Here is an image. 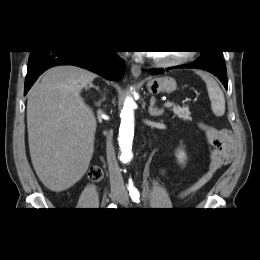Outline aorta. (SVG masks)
I'll use <instances>...</instances> for the list:
<instances>
[{
    "label": "aorta",
    "mask_w": 260,
    "mask_h": 260,
    "mask_svg": "<svg viewBox=\"0 0 260 260\" xmlns=\"http://www.w3.org/2000/svg\"><path fill=\"white\" fill-rule=\"evenodd\" d=\"M134 108L132 97H126L121 110V124L119 128L120 159L123 163H130L133 158L132 142L134 136Z\"/></svg>",
    "instance_id": "762f6f07"
}]
</instances>
